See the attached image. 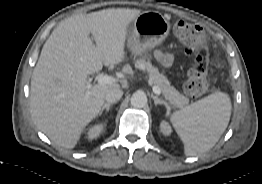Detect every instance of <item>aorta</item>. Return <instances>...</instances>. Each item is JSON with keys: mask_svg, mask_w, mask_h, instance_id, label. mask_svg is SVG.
I'll return each instance as SVG.
<instances>
[{"mask_svg": "<svg viewBox=\"0 0 262 184\" xmlns=\"http://www.w3.org/2000/svg\"><path fill=\"white\" fill-rule=\"evenodd\" d=\"M130 103L134 108H143L147 104V96L142 91L133 93Z\"/></svg>", "mask_w": 262, "mask_h": 184, "instance_id": "obj_1", "label": "aorta"}]
</instances>
